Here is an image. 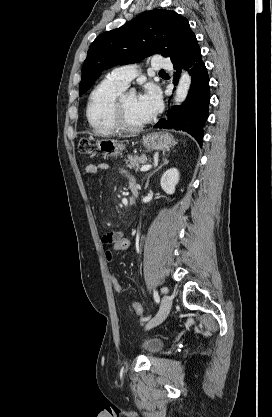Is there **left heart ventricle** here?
I'll return each instance as SVG.
<instances>
[{
	"mask_svg": "<svg viewBox=\"0 0 272 417\" xmlns=\"http://www.w3.org/2000/svg\"><path fill=\"white\" fill-rule=\"evenodd\" d=\"M124 114L130 124H141L149 119L140 109L138 97L133 93L127 94L124 99Z\"/></svg>",
	"mask_w": 272,
	"mask_h": 417,
	"instance_id": "obj_1",
	"label": "left heart ventricle"
}]
</instances>
